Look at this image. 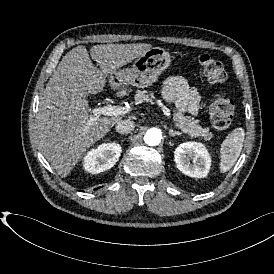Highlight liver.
Wrapping results in <instances>:
<instances>
[{
    "instance_id": "1",
    "label": "liver",
    "mask_w": 274,
    "mask_h": 274,
    "mask_svg": "<svg viewBox=\"0 0 274 274\" xmlns=\"http://www.w3.org/2000/svg\"><path fill=\"white\" fill-rule=\"evenodd\" d=\"M151 44H103L90 49L79 45L63 56L40 98L36 114L39 147L62 177H66L86 151L122 120L120 116L99 117L87 125L89 94L103 91L108 74L132 62ZM111 82V79H110Z\"/></svg>"
}]
</instances>
